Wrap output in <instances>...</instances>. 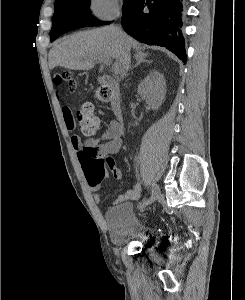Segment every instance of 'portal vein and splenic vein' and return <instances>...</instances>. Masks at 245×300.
Returning a JSON list of instances; mask_svg holds the SVG:
<instances>
[{"mask_svg": "<svg viewBox=\"0 0 245 300\" xmlns=\"http://www.w3.org/2000/svg\"><path fill=\"white\" fill-rule=\"evenodd\" d=\"M99 62H103V63H105V64H107V65H110V64H111L110 59H109V58H106V57L100 58V59H99ZM112 71H113L115 74L121 73V67H120V65H119L118 63H114V64L112 65Z\"/></svg>", "mask_w": 245, "mask_h": 300, "instance_id": "1", "label": "portal vein and splenic vein"}]
</instances>
